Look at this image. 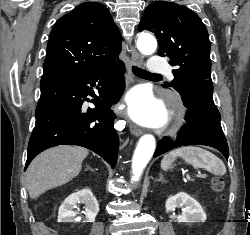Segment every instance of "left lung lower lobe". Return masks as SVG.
<instances>
[{
  "instance_id": "obj_1",
  "label": "left lung lower lobe",
  "mask_w": 250,
  "mask_h": 235,
  "mask_svg": "<svg viewBox=\"0 0 250 235\" xmlns=\"http://www.w3.org/2000/svg\"><path fill=\"white\" fill-rule=\"evenodd\" d=\"M178 92L187 108L186 125L176 140L163 138L158 142L154 158L176 147L199 144L219 150L228 160V144L221 128L220 113L213 101L212 81H191Z\"/></svg>"
}]
</instances>
